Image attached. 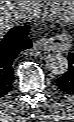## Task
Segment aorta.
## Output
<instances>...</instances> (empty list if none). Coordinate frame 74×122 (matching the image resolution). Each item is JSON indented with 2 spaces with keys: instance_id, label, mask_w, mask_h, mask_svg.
I'll return each instance as SVG.
<instances>
[{
  "instance_id": "762f6f07",
  "label": "aorta",
  "mask_w": 74,
  "mask_h": 122,
  "mask_svg": "<svg viewBox=\"0 0 74 122\" xmlns=\"http://www.w3.org/2000/svg\"><path fill=\"white\" fill-rule=\"evenodd\" d=\"M68 65L67 57L61 53H53L46 58L47 69L55 75H62L67 72Z\"/></svg>"
}]
</instances>
